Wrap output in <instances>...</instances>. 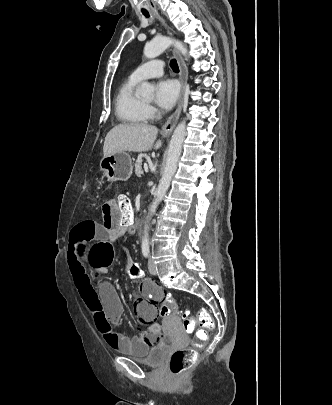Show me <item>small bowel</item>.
Segmentation results:
<instances>
[{
	"mask_svg": "<svg viewBox=\"0 0 332 405\" xmlns=\"http://www.w3.org/2000/svg\"><path fill=\"white\" fill-rule=\"evenodd\" d=\"M117 202L116 195L107 197L102 205V223L80 221L73 226L67 250L69 270L98 332L110 347L122 350L123 353H153V349H158L159 344L164 342V337L158 335L159 322L155 320V315L159 313L163 297L168 295L167 288H154L150 280H145L140 289L135 291L137 302L132 303V310L141 319L142 328L148 329L130 338L113 329V324L119 322L123 310L114 287L102 279L98 272H90L88 269L93 241L117 240L127 231L125 224L120 222Z\"/></svg>",
	"mask_w": 332,
	"mask_h": 405,
	"instance_id": "1",
	"label": "small bowel"
}]
</instances>
